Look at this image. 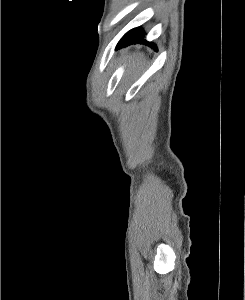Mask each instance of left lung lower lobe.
Segmentation results:
<instances>
[{
  "mask_svg": "<svg viewBox=\"0 0 245 300\" xmlns=\"http://www.w3.org/2000/svg\"><path fill=\"white\" fill-rule=\"evenodd\" d=\"M145 33L143 32L141 27L133 28L128 31L118 42L117 48L126 47L130 44L135 43H148L149 46L156 49V45L152 42H147L144 39Z\"/></svg>",
  "mask_w": 245,
  "mask_h": 300,
  "instance_id": "obj_1",
  "label": "left lung lower lobe"
}]
</instances>
